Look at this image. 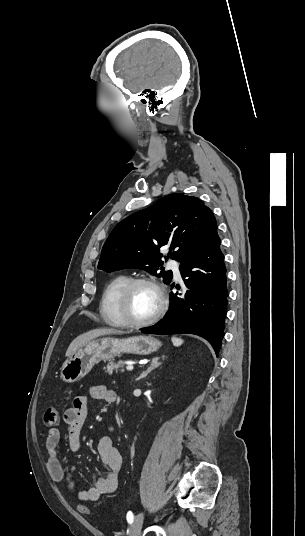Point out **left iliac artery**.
<instances>
[{
  "instance_id": "1",
  "label": "left iliac artery",
  "mask_w": 305,
  "mask_h": 536,
  "mask_svg": "<svg viewBox=\"0 0 305 536\" xmlns=\"http://www.w3.org/2000/svg\"><path fill=\"white\" fill-rule=\"evenodd\" d=\"M127 521L131 524L133 522V514L131 511L127 513Z\"/></svg>"
}]
</instances>
